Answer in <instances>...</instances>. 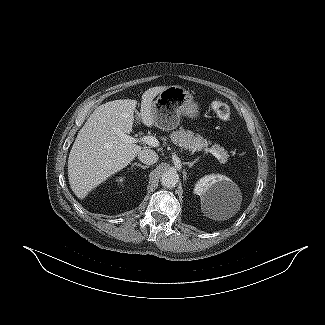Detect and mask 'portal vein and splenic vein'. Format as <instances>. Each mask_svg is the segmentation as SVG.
I'll use <instances>...</instances> for the list:
<instances>
[{
	"label": "portal vein and splenic vein",
	"mask_w": 325,
	"mask_h": 325,
	"mask_svg": "<svg viewBox=\"0 0 325 325\" xmlns=\"http://www.w3.org/2000/svg\"><path fill=\"white\" fill-rule=\"evenodd\" d=\"M120 136H121V139L124 142L129 143V144L142 142V143L147 144V145H149L151 147L159 146V141L153 136L146 135V136H143V137H140V138H134V137H131V136L126 135L124 133H121ZM204 150L206 152H209V153L213 154L217 159L220 158V154L218 153L217 150H215L213 148H206Z\"/></svg>",
	"instance_id": "1"
}]
</instances>
